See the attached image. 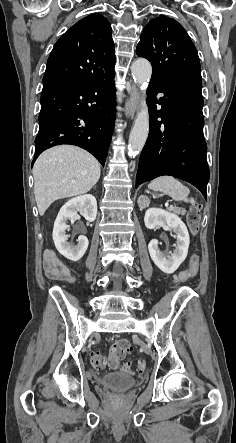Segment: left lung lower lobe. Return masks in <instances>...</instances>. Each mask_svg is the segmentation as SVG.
<instances>
[{"label":"left lung lower lobe","mask_w":236,"mask_h":443,"mask_svg":"<svg viewBox=\"0 0 236 443\" xmlns=\"http://www.w3.org/2000/svg\"><path fill=\"white\" fill-rule=\"evenodd\" d=\"M201 89L198 80L151 79L147 91L150 129L139 160L136 187L158 176L171 175L191 183L207 199L210 171ZM160 92L164 96L157 100Z\"/></svg>","instance_id":"left-lung-lower-lobe-1"}]
</instances>
